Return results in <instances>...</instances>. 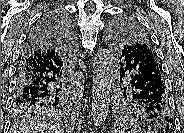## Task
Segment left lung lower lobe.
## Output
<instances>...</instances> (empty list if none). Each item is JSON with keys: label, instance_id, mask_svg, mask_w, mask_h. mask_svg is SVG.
Instances as JSON below:
<instances>
[{"label": "left lung lower lobe", "instance_id": "obj_1", "mask_svg": "<svg viewBox=\"0 0 184 133\" xmlns=\"http://www.w3.org/2000/svg\"><path fill=\"white\" fill-rule=\"evenodd\" d=\"M142 64L135 69L131 68L132 71L129 73V83L135 99L139 102V110L146 119L161 118L172 123L173 120L169 119L170 105L162 76L154 73V70H149L151 67Z\"/></svg>", "mask_w": 184, "mask_h": 133}]
</instances>
